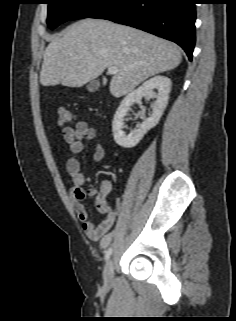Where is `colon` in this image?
I'll use <instances>...</instances> for the list:
<instances>
[{"label":"colon","mask_w":236,"mask_h":321,"mask_svg":"<svg viewBox=\"0 0 236 321\" xmlns=\"http://www.w3.org/2000/svg\"><path fill=\"white\" fill-rule=\"evenodd\" d=\"M58 115H59V123L61 125L69 124V123L73 122V120H74L73 113L70 110L63 108V107L59 108ZM80 196L84 197L85 192L81 191Z\"/></svg>","instance_id":"obj_1"}]
</instances>
